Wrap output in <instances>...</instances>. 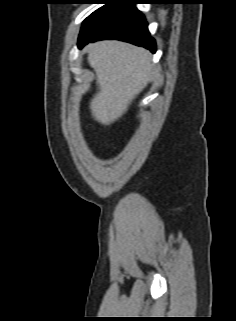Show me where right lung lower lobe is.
I'll use <instances>...</instances> for the list:
<instances>
[{
    "instance_id": "98d812e1",
    "label": "right lung lower lobe",
    "mask_w": 236,
    "mask_h": 321,
    "mask_svg": "<svg viewBox=\"0 0 236 321\" xmlns=\"http://www.w3.org/2000/svg\"><path fill=\"white\" fill-rule=\"evenodd\" d=\"M134 4H137L136 0L108 2L82 27L78 47L97 40L117 39L155 53V40L149 34L143 14Z\"/></svg>"
}]
</instances>
